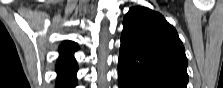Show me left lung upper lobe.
<instances>
[{"label": "left lung upper lobe", "instance_id": "1", "mask_svg": "<svg viewBox=\"0 0 223 88\" xmlns=\"http://www.w3.org/2000/svg\"><path fill=\"white\" fill-rule=\"evenodd\" d=\"M188 60L177 31L160 14L131 7L123 19L118 65L149 81L187 88Z\"/></svg>", "mask_w": 223, "mask_h": 88}]
</instances>
